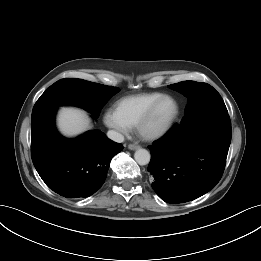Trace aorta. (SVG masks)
Returning <instances> with one entry per match:
<instances>
[{
	"instance_id": "obj_1",
	"label": "aorta",
	"mask_w": 261,
	"mask_h": 261,
	"mask_svg": "<svg viewBox=\"0 0 261 261\" xmlns=\"http://www.w3.org/2000/svg\"><path fill=\"white\" fill-rule=\"evenodd\" d=\"M134 158L139 165H147L150 162V152L146 149H138L134 154Z\"/></svg>"
}]
</instances>
